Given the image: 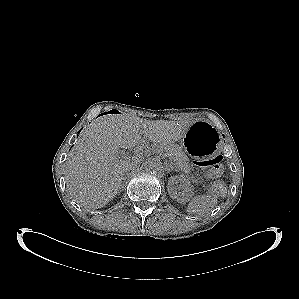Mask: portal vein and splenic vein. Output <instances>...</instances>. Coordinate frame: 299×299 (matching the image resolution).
Here are the masks:
<instances>
[{
  "label": "portal vein and splenic vein",
  "instance_id": "18ae733b",
  "mask_svg": "<svg viewBox=\"0 0 299 299\" xmlns=\"http://www.w3.org/2000/svg\"><path fill=\"white\" fill-rule=\"evenodd\" d=\"M144 150V146H139L136 149V152H142Z\"/></svg>",
  "mask_w": 299,
  "mask_h": 299
}]
</instances>
